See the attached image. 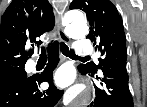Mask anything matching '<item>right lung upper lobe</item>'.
<instances>
[{"label":"right lung upper lobe","mask_w":147,"mask_h":107,"mask_svg":"<svg viewBox=\"0 0 147 107\" xmlns=\"http://www.w3.org/2000/svg\"><path fill=\"white\" fill-rule=\"evenodd\" d=\"M55 24L53 9L48 0H12L0 25V69L24 66L33 51L25 47Z\"/></svg>","instance_id":"obj_1"}]
</instances>
